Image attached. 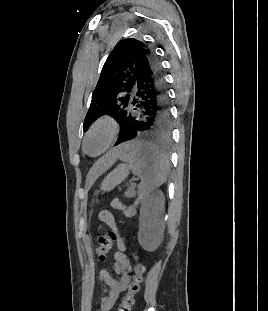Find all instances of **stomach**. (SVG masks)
Returning <instances> with one entry per match:
<instances>
[{"mask_svg": "<svg viewBox=\"0 0 268 311\" xmlns=\"http://www.w3.org/2000/svg\"><path fill=\"white\" fill-rule=\"evenodd\" d=\"M130 167L126 164L118 165L112 172H110L101 184L103 192L113 190L118 184L124 181L129 175Z\"/></svg>", "mask_w": 268, "mask_h": 311, "instance_id": "0dacf381", "label": "stomach"}]
</instances>
